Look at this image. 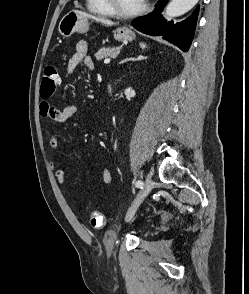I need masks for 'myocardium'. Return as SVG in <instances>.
I'll return each mask as SVG.
<instances>
[{
    "mask_svg": "<svg viewBox=\"0 0 249 294\" xmlns=\"http://www.w3.org/2000/svg\"><path fill=\"white\" fill-rule=\"evenodd\" d=\"M104 2L113 15L118 17H123V18H130V17L140 15L147 8V4L146 2H144L143 5L139 7L138 9H135L132 11H125L118 7L116 0H104Z\"/></svg>",
    "mask_w": 249,
    "mask_h": 294,
    "instance_id": "1",
    "label": "myocardium"
}]
</instances>
